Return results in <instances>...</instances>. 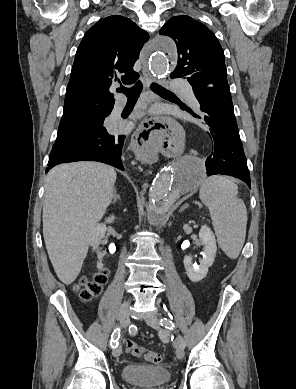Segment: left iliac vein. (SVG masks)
Listing matches in <instances>:
<instances>
[{"label":"left iliac vein","mask_w":296,"mask_h":389,"mask_svg":"<svg viewBox=\"0 0 296 389\" xmlns=\"http://www.w3.org/2000/svg\"><path fill=\"white\" fill-rule=\"evenodd\" d=\"M145 321L149 326L153 328H159L160 326L159 318L155 314L148 316ZM176 356L178 359H182L184 357V347L180 343L176 345Z\"/></svg>","instance_id":"1"}]
</instances>
